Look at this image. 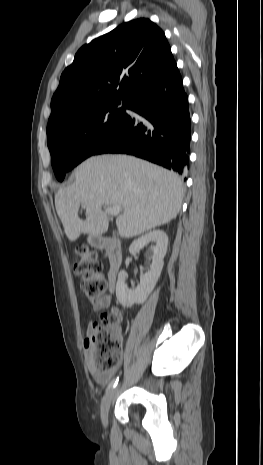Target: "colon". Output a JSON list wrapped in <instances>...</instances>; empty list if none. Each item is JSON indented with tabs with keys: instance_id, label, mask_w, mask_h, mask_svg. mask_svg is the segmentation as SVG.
<instances>
[{
	"instance_id": "5ec220e1",
	"label": "colon",
	"mask_w": 263,
	"mask_h": 465,
	"mask_svg": "<svg viewBox=\"0 0 263 465\" xmlns=\"http://www.w3.org/2000/svg\"><path fill=\"white\" fill-rule=\"evenodd\" d=\"M79 260L74 264V272L81 277V289L91 301L104 296L106 281L101 275L102 263L95 252L85 247L78 249ZM119 320L117 310L104 312L99 322L94 323L91 333L86 338L89 346L90 360L95 369L105 373L114 370L122 357V340L116 326Z\"/></svg>"
}]
</instances>
